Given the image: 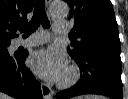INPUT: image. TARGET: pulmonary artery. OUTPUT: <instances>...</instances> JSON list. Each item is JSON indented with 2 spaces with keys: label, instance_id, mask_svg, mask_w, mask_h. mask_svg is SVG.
Wrapping results in <instances>:
<instances>
[{
  "label": "pulmonary artery",
  "instance_id": "pulmonary-artery-1",
  "mask_svg": "<svg viewBox=\"0 0 128 99\" xmlns=\"http://www.w3.org/2000/svg\"><path fill=\"white\" fill-rule=\"evenodd\" d=\"M69 28V23L65 21H56L53 26L55 33L66 32ZM49 34L47 32H39L31 35L25 40L17 39L14 44L15 46H35L40 45L48 41Z\"/></svg>",
  "mask_w": 128,
  "mask_h": 99
}]
</instances>
